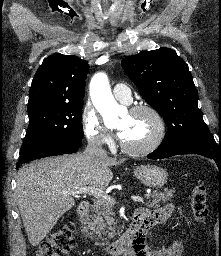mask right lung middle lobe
Wrapping results in <instances>:
<instances>
[{
    "mask_svg": "<svg viewBox=\"0 0 221 256\" xmlns=\"http://www.w3.org/2000/svg\"><path fill=\"white\" fill-rule=\"evenodd\" d=\"M83 103L45 105L28 110L29 127L20 155L51 140L82 139Z\"/></svg>",
    "mask_w": 221,
    "mask_h": 256,
    "instance_id": "obj_1",
    "label": "right lung middle lobe"
}]
</instances>
